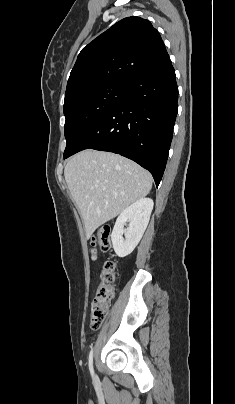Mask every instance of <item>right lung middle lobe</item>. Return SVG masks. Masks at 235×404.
Masks as SVG:
<instances>
[{
	"mask_svg": "<svg viewBox=\"0 0 235 404\" xmlns=\"http://www.w3.org/2000/svg\"><path fill=\"white\" fill-rule=\"evenodd\" d=\"M124 83H107L87 89L64 103V157L81 142L88 130L108 114L121 100Z\"/></svg>",
	"mask_w": 235,
	"mask_h": 404,
	"instance_id": "1",
	"label": "right lung middle lobe"
}]
</instances>
